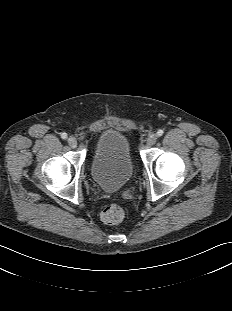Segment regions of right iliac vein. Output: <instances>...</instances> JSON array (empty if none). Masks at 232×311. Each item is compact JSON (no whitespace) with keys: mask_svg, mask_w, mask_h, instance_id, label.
Returning a JSON list of instances; mask_svg holds the SVG:
<instances>
[{"mask_svg":"<svg viewBox=\"0 0 232 311\" xmlns=\"http://www.w3.org/2000/svg\"><path fill=\"white\" fill-rule=\"evenodd\" d=\"M67 141H68V144H69L70 147H72V148H76L77 147V140H76L75 137L71 136V137L68 138Z\"/></svg>","mask_w":232,"mask_h":311,"instance_id":"obj_1","label":"right iliac vein"}]
</instances>
